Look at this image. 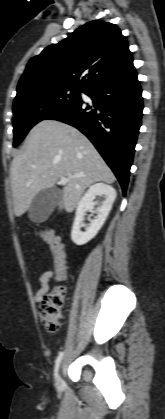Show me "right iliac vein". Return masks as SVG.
Segmentation results:
<instances>
[{
  "label": "right iliac vein",
  "instance_id": "right-iliac-vein-1",
  "mask_svg": "<svg viewBox=\"0 0 165 419\" xmlns=\"http://www.w3.org/2000/svg\"><path fill=\"white\" fill-rule=\"evenodd\" d=\"M62 385V380H61V376L60 373H58L57 378H56V387L57 389H60Z\"/></svg>",
  "mask_w": 165,
  "mask_h": 419
}]
</instances>
